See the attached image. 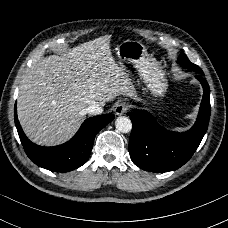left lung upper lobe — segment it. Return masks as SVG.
<instances>
[{
	"instance_id": "obj_1",
	"label": "left lung upper lobe",
	"mask_w": 228,
	"mask_h": 228,
	"mask_svg": "<svg viewBox=\"0 0 228 228\" xmlns=\"http://www.w3.org/2000/svg\"><path fill=\"white\" fill-rule=\"evenodd\" d=\"M177 62L183 68L192 70V71L197 72L199 74H204L203 71L201 70V68L198 67L197 65L191 63L184 53H181L179 55Z\"/></svg>"
}]
</instances>
